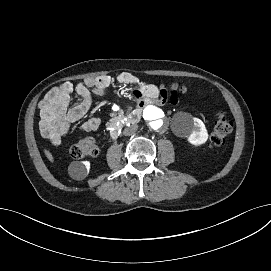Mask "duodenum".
I'll list each match as a JSON object with an SVG mask.
<instances>
[{"label": "duodenum", "instance_id": "1", "mask_svg": "<svg viewBox=\"0 0 271 271\" xmlns=\"http://www.w3.org/2000/svg\"><path fill=\"white\" fill-rule=\"evenodd\" d=\"M142 112L140 109H136L129 113L126 117L125 120L126 122L130 124L137 123L141 119ZM119 135V128L114 126L111 131H110V136L112 139H116Z\"/></svg>", "mask_w": 271, "mask_h": 271}]
</instances>
